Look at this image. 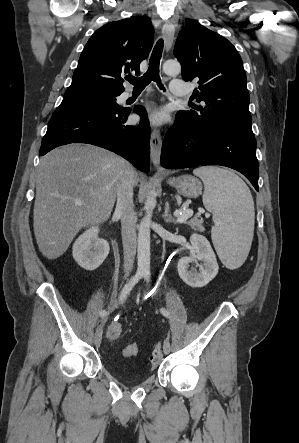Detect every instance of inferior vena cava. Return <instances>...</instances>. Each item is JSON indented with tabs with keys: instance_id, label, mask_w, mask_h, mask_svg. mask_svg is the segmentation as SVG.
<instances>
[{
	"instance_id": "602c4592",
	"label": "inferior vena cava",
	"mask_w": 299,
	"mask_h": 443,
	"mask_svg": "<svg viewBox=\"0 0 299 443\" xmlns=\"http://www.w3.org/2000/svg\"><path fill=\"white\" fill-rule=\"evenodd\" d=\"M134 173L129 172L122 180L118 194L116 212L121 217L122 242L124 250V271L129 272L134 263L137 246L136 222L133 204Z\"/></svg>"
}]
</instances>
